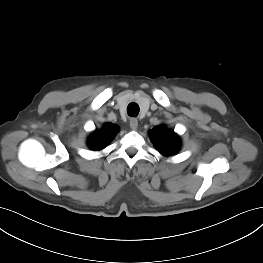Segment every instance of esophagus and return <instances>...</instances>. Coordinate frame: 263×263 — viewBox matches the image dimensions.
Segmentation results:
<instances>
[{"mask_svg":"<svg viewBox=\"0 0 263 263\" xmlns=\"http://www.w3.org/2000/svg\"><path fill=\"white\" fill-rule=\"evenodd\" d=\"M129 124L133 130H136L138 127V120L136 118H131Z\"/></svg>","mask_w":263,"mask_h":263,"instance_id":"esophagus-1","label":"esophagus"}]
</instances>
